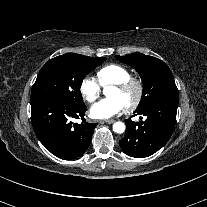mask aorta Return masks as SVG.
<instances>
[{"instance_id": "aorta-1", "label": "aorta", "mask_w": 207, "mask_h": 207, "mask_svg": "<svg viewBox=\"0 0 207 207\" xmlns=\"http://www.w3.org/2000/svg\"><path fill=\"white\" fill-rule=\"evenodd\" d=\"M108 87L103 89V94L107 95ZM113 131L116 133H123L125 131V124L123 122H115L113 124Z\"/></svg>"}]
</instances>
